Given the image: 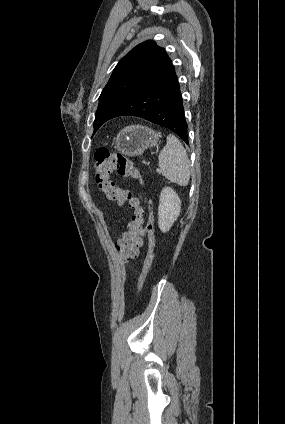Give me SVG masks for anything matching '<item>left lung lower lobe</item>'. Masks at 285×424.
Masks as SVG:
<instances>
[{
	"label": "left lung lower lobe",
	"mask_w": 285,
	"mask_h": 424,
	"mask_svg": "<svg viewBox=\"0 0 285 424\" xmlns=\"http://www.w3.org/2000/svg\"><path fill=\"white\" fill-rule=\"evenodd\" d=\"M119 116L146 119L172 130L188 143L182 95L171 60L155 80L114 109L107 121Z\"/></svg>",
	"instance_id": "left-lung-lower-lobe-1"
}]
</instances>
